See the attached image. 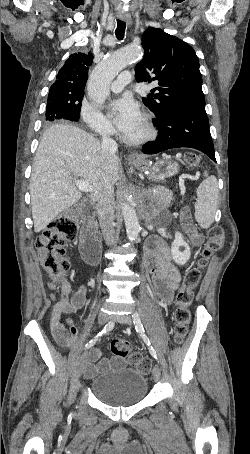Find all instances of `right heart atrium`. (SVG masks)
<instances>
[{"label":"right heart atrium","mask_w":250,"mask_h":454,"mask_svg":"<svg viewBox=\"0 0 250 454\" xmlns=\"http://www.w3.org/2000/svg\"><path fill=\"white\" fill-rule=\"evenodd\" d=\"M80 117L85 126L98 135L108 136L114 132L113 126L109 120H107L100 111L87 100L82 102Z\"/></svg>","instance_id":"d8ad5b80"}]
</instances>
